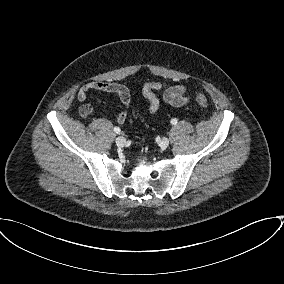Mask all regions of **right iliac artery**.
Listing matches in <instances>:
<instances>
[{"label": "right iliac artery", "mask_w": 284, "mask_h": 284, "mask_svg": "<svg viewBox=\"0 0 284 284\" xmlns=\"http://www.w3.org/2000/svg\"><path fill=\"white\" fill-rule=\"evenodd\" d=\"M120 131H121V130H120V128H119V127H115V128H114V132H115V133L119 134V133H120Z\"/></svg>", "instance_id": "right-iliac-artery-1"}]
</instances>
